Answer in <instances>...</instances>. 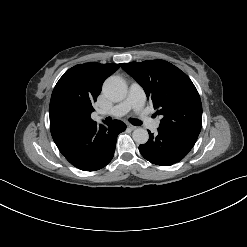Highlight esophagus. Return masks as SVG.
<instances>
[{
	"label": "esophagus",
	"instance_id": "1",
	"mask_svg": "<svg viewBox=\"0 0 247 247\" xmlns=\"http://www.w3.org/2000/svg\"><path fill=\"white\" fill-rule=\"evenodd\" d=\"M127 127L129 128V129H131V130H135L137 127L136 126H134V125H132V124H127Z\"/></svg>",
	"mask_w": 247,
	"mask_h": 247
}]
</instances>
